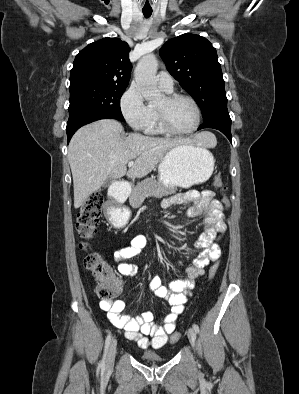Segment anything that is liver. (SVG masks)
Wrapping results in <instances>:
<instances>
[{"mask_svg": "<svg viewBox=\"0 0 299 394\" xmlns=\"http://www.w3.org/2000/svg\"><path fill=\"white\" fill-rule=\"evenodd\" d=\"M123 127L113 119H101L80 128L68 147V160L73 177L74 207L79 208L104 181L111 178H143L172 148L195 143L207 144L210 135L202 132L189 139H166L132 133L121 137ZM216 145V141L213 146ZM135 163L127 171V163Z\"/></svg>", "mask_w": 299, "mask_h": 394, "instance_id": "liver-1", "label": "liver"}]
</instances>
